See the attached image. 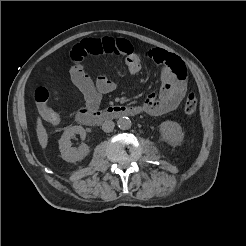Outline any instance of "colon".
I'll use <instances>...</instances> for the list:
<instances>
[{"mask_svg": "<svg viewBox=\"0 0 246 246\" xmlns=\"http://www.w3.org/2000/svg\"><path fill=\"white\" fill-rule=\"evenodd\" d=\"M34 98L38 107V110L43 119L52 125H57L61 122V116L58 112L48 107L49 92L44 87H38L35 90ZM198 101L193 93L187 95L184 102V112L191 116L197 110Z\"/></svg>", "mask_w": 246, "mask_h": 246, "instance_id": "colon-1", "label": "colon"}]
</instances>
